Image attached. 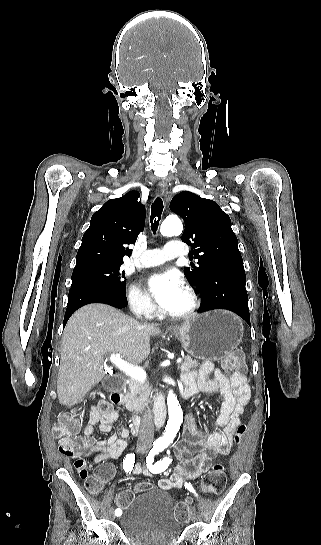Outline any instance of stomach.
<instances>
[{
  "label": "stomach",
  "mask_w": 321,
  "mask_h": 545,
  "mask_svg": "<svg viewBox=\"0 0 321 545\" xmlns=\"http://www.w3.org/2000/svg\"><path fill=\"white\" fill-rule=\"evenodd\" d=\"M183 349L196 359L218 361L237 349L244 333L241 319L229 311H208L172 329Z\"/></svg>",
  "instance_id": "0dacf381"
}]
</instances>
